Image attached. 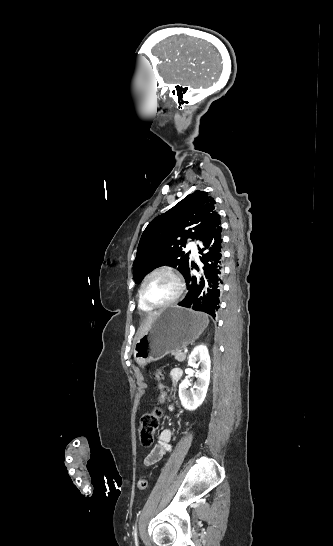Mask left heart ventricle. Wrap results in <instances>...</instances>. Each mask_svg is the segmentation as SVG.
Returning a JSON list of instances; mask_svg holds the SVG:
<instances>
[{
  "label": "left heart ventricle",
  "mask_w": 333,
  "mask_h": 546,
  "mask_svg": "<svg viewBox=\"0 0 333 546\" xmlns=\"http://www.w3.org/2000/svg\"><path fill=\"white\" fill-rule=\"evenodd\" d=\"M176 292L177 283L167 273H160L152 277L145 288L147 298L155 304H161L170 300Z\"/></svg>",
  "instance_id": "b2bd125f"
}]
</instances>
